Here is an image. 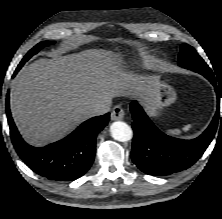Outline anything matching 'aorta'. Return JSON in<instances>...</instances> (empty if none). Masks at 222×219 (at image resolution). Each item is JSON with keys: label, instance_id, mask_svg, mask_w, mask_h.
<instances>
[{"label": "aorta", "instance_id": "aorta-1", "mask_svg": "<svg viewBox=\"0 0 222 219\" xmlns=\"http://www.w3.org/2000/svg\"><path fill=\"white\" fill-rule=\"evenodd\" d=\"M110 132L111 136L120 142L129 141L133 136L130 126L122 121L113 122L110 126Z\"/></svg>", "mask_w": 222, "mask_h": 219}]
</instances>
